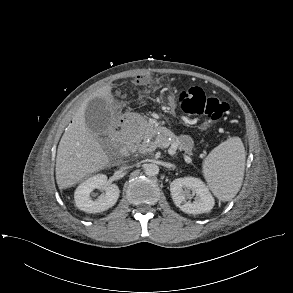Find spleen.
Returning <instances> with one entry per match:
<instances>
[{
  "mask_svg": "<svg viewBox=\"0 0 293 293\" xmlns=\"http://www.w3.org/2000/svg\"><path fill=\"white\" fill-rule=\"evenodd\" d=\"M245 168V148L239 137L215 147L203 162V175L214 195L231 200L239 191Z\"/></svg>",
  "mask_w": 293,
  "mask_h": 293,
  "instance_id": "spleen-1",
  "label": "spleen"
}]
</instances>
